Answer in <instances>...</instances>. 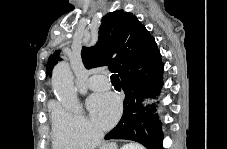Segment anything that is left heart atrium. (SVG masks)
Masks as SVG:
<instances>
[{
	"instance_id": "obj_1",
	"label": "left heart atrium",
	"mask_w": 227,
	"mask_h": 149,
	"mask_svg": "<svg viewBox=\"0 0 227 149\" xmlns=\"http://www.w3.org/2000/svg\"><path fill=\"white\" fill-rule=\"evenodd\" d=\"M93 121L103 129L110 128L119 118L121 103L112 93L94 94L87 102Z\"/></svg>"
}]
</instances>
